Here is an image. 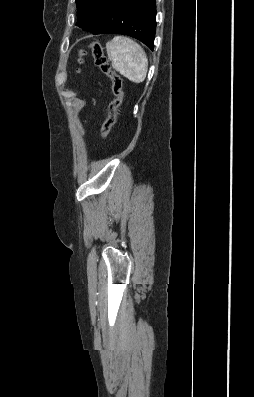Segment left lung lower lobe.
Wrapping results in <instances>:
<instances>
[{
    "mask_svg": "<svg viewBox=\"0 0 254 397\" xmlns=\"http://www.w3.org/2000/svg\"><path fill=\"white\" fill-rule=\"evenodd\" d=\"M106 3L104 16L92 33L129 35L153 50L156 30L155 0H107Z\"/></svg>",
    "mask_w": 254,
    "mask_h": 397,
    "instance_id": "left-lung-lower-lobe-1",
    "label": "left lung lower lobe"
}]
</instances>
